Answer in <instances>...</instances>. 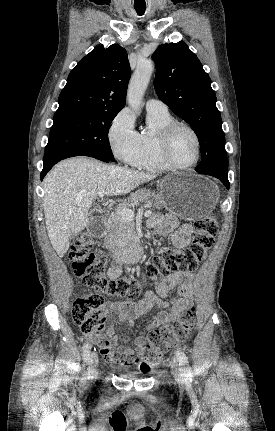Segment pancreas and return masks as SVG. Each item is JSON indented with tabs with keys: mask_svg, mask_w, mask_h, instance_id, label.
<instances>
[{
	"mask_svg": "<svg viewBox=\"0 0 275 431\" xmlns=\"http://www.w3.org/2000/svg\"><path fill=\"white\" fill-rule=\"evenodd\" d=\"M138 202H144L149 205H157V209L164 207L163 201L156 200L155 195L149 190H140L132 194L119 209L131 208ZM134 233V224L130 220L121 218L117 213L111 215L105 226L104 246L110 251H117L129 241Z\"/></svg>",
	"mask_w": 275,
	"mask_h": 431,
	"instance_id": "cf45deb5",
	"label": "pancreas"
}]
</instances>
